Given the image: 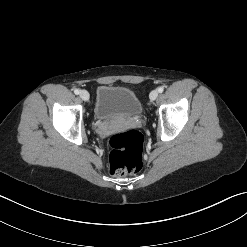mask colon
Instances as JSON below:
<instances>
[{"mask_svg":"<svg viewBox=\"0 0 247 247\" xmlns=\"http://www.w3.org/2000/svg\"><path fill=\"white\" fill-rule=\"evenodd\" d=\"M143 141V135L137 130L117 132L108 138V166L112 175L127 176L140 171Z\"/></svg>","mask_w":247,"mask_h":247,"instance_id":"5ec220e1","label":"colon"}]
</instances>
